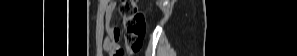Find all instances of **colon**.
<instances>
[{
  "label": "colon",
  "mask_w": 297,
  "mask_h": 56,
  "mask_svg": "<svg viewBox=\"0 0 297 56\" xmlns=\"http://www.w3.org/2000/svg\"><path fill=\"white\" fill-rule=\"evenodd\" d=\"M119 13L123 18L125 29V50L130 53L138 52L143 44L146 32L144 13L139 9L136 0H122L119 4ZM123 49L115 52L114 56H123Z\"/></svg>",
  "instance_id": "5ec220e1"
}]
</instances>
